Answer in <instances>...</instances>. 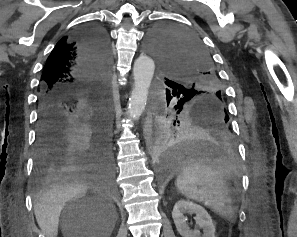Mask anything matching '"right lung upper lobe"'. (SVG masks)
<instances>
[{
    "label": "right lung upper lobe",
    "mask_w": 297,
    "mask_h": 237,
    "mask_svg": "<svg viewBox=\"0 0 297 237\" xmlns=\"http://www.w3.org/2000/svg\"><path fill=\"white\" fill-rule=\"evenodd\" d=\"M81 52L77 33L62 38L52 50L44 66L41 93L55 90L68 99H77L92 88V79L80 68Z\"/></svg>",
    "instance_id": "obj_1"
}]
</instances>
